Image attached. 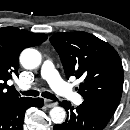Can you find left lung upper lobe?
<instances>
[{
	"mask_svg": "<svg viewBox=\"0 0 130 130\" xmlns=\"http://www.w3.org/2000/svg\"><path fill=\"white\" fill-rule=\"evenodd\" d=\"M66 77L83 81L78 93L115 111L123 91V67L116 50L96 36L83 32H59L50 38Z\"/></svg>",
	"mask_w": 130,
	"mask_h": 130,
	"instance_id": "1",
	"label": "left lung upper lobe"
}]
</instances>
